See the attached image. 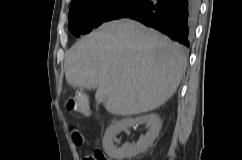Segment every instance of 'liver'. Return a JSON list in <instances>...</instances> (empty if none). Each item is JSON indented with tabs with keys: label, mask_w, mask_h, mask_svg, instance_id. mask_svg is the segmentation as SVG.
Masks as SVG:
<instances>
[{
	"label": "liver",
	"mask_w": 242,
	"mask_h": 160,
	"mask_svg": "<svg viewBox=\"0 0 242 160\" xmlns=\"http://www.w3.org/2000/svg\"><path fill=\"white\" fill-rule=\"evenodd\" d=\"M186 68L185 49L139 22L103 24L68 51L67 83L97 89L95 100L114 115L146 113L176 92Z\"/></svg>",
	"instance_id": "liver-1"
}]
</instances>
